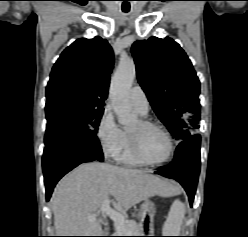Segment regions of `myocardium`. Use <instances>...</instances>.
Listing matches in <instances>:
<instances>
[{"instance_id":"myocardium-1","label":"myocardium","mask_w":248,"mask_h":237,"mask_svg":"<svg viewBox=\"0 0 248 237\" xmlns=\"http://www.w3.org/2000/svg\"><path fill=\"white\" fill-rule=\"evenodd\" d=\"M139 124L141 127H152V128L158 129L160 132H162V134L167 139L169 149H168V153H167L165 158H163L162 160H159V161H151L143 155V153L140 149L137 137L128 131V139H129V143H130V147H131V151H132L133 156L138 161H140L142 164L149 165V166H161V165L167 163L172 158V156L174 154V150H175L174 141H173L172 136L169 133V131L163 125H161L157 122L145 119V118H141L139 120Z\"/></svg>"}]
</instances>
